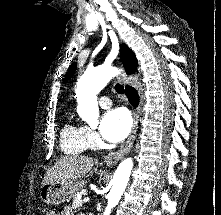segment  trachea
I'll use <instances>...</instances> for the list:
<instances>
[{
	"label": "trachea",
	"mask_w": 221,
	"mask_h": 215,
	"mask_svg": "<svg viewBox=\"0 0 221 215\" xmlns=\"http://www.w3.org/2000/svg\"><path fill=\"white\" fill-rule=\"evenodd\" d=\"M115 90H116V92L119 93V94H124V88H123V86L120 85V84H116V85H115Z\"/></svg>",
	"instance_id": "trachea-1"
}]
</instances>
